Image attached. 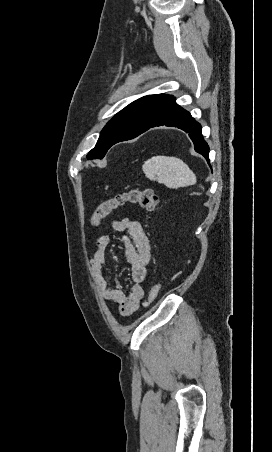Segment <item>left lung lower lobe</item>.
Instances as JSON below:
<instances>
[{
	"instance_id": "0a47b994",
	"label": "left lung lower lobe",
	"mask_w": 272,
	"mask_h": 452,
	"mask_svg": "<svg viewBox=\"0 0 272 452\" xmlns=\"http://www.w3.org/2000/svg\"><path fill=\"white\" fill-rule=\"evenodd\" d=\"M157 126L177 127L188 133L189 137L194 143L195 151L203 155L207 162L209 163V146L203 139L201 125L194 120V118L190 115L188 111L181 108L175 102L174 97H172V99L165 105V107L159 113L153 124L147 130ZM137 136H134L133 138Z\"/></svg>"
}]
</instances>
